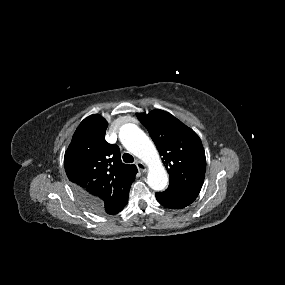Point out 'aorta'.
<instances>
[{"mask_svg": "<svg viewBox=\"0 0 285 285\" xmlns=\"http://www.w3.org/2000/svg\"><path fill=\"white\" fill-rule=\"evenodd\" d=\"M124 147L143 160L149 167L147 184L155 191H162L168 184V175L159 153L149 137L135 124H124L119 131Z\"/></svg>", "mask_w": 285, "mask_h": 285, "instance_id": "762f6f07", "label": "aorta"}]
</instances>
